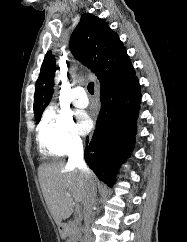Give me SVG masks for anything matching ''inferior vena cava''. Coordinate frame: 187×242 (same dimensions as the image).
Here are the masks:
<instances>
[{
	"mask_svg": "<svg viewBox=\"0 0 187 242\" xmlns=\"http://www.w3.org/2000/svg\"><path fill=\"white\" fill-rule=\"evenodd\" d=\"M68 165L77 167L81 174L89 176L91 174L90 169L84 161L83 145L80 139L74 140L69 152ZM96 204V187L91 185L87 190V197L84 202V227H83V242H93L91 232V220L93 207Z\"/></svg>",
	"mask_w": 187,
	"mask_h": 242,
	"instance_id": "obj_1",
	"label": "inferior vena cava"
}]
</instances>
